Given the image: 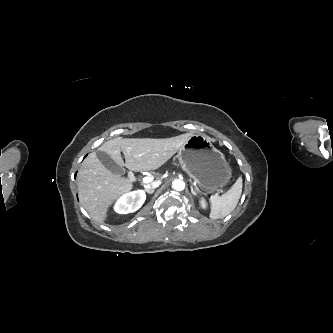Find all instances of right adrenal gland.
I'll list each match as a JSON object with an SVG mask.
<instances>
[{"instance_id": "1", "label": "right adrenal gland", "mask_w": 333, "mask_h": 333, "mask_svg": "<svg viewBox=\"0 0 333 333\" xmlns=\"http://www.w3.org/2000/svg\"><path fill=\"white\" fill-rule=\"evenodd\" d=\"M148 194H153L154 193V189H147L145 190Z\"/></svg>"}]
</instances>
